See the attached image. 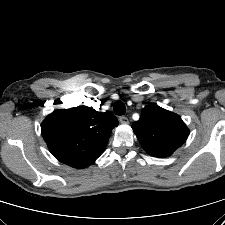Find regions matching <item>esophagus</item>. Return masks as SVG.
I'll list each match as a JSON object with an SVG mask.
<instances>
[{
	"label": "esophagus",
	"mask_w": 225,
	"mask_h": 225,
	"mask_svg": "<svg viewBox=\"0 0 225 225\" xmlns=\"http://www.w3.org/2000/svg\"><path fill=\"white\" fill-rule=\"evenodd\" d=\"M119 121H120L121 124H128L129 123L128 118L125 117V116H120Z\"/></svg>",
	"instance_id": "1"
}]
</instances>
